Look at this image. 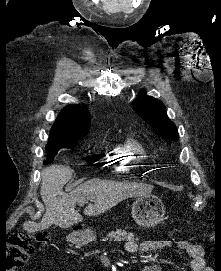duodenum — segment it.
<instances>
[{
	"label": "duodenum",
	"mask_w": 221,
	"mask_h": 271,
	"mask_svg": "<svg viewBox=\"0 0 221 271\" xmlns=\"http://www.w3.org/2000/svg\"><path fill=\"white\" fill-rule=\"evenodd\" d=\"M70 242L74 245H84L88 242L87 236L83 232H77L71 236Z\"/></svg>",
	"instance_id": "obj_1"
}]
</instances>
